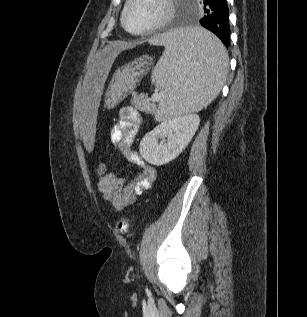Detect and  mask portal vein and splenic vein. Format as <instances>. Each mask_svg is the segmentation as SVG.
I'll use <instances>...</instances> for the list:
<instances>
[{"instance_id":"portal-vein-and-splenic-vein-1","label":"portal vein and splenic vein","mask_w":307,"mask_h":317,"mask_svg":"<svg viewBox=\"0 0 307 317\" xmlns=\"http://www.w3.org/2000/svg\"><path fill=\"white\" fill-rule=\"evenodd\" d=\"M164 95V92H155L153 95H152V101L153 102H157L159 101Z\"/></svg>"}]
</instances>
